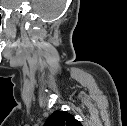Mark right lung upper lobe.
<instances>
[{
	"label": "right lung upper lobe",
	"mask_w": 127,
	"mask_h": 126,
	"mask_svg": "<svg viewBox=\"0 0 127 126\" xmlns=\"http://www.w3.org/2000/svg\"><path fill=\"white\" fill-rule=\"evenodd\" d=\"M44 126H82L71 114L57 110L46 120Z\"/></svg>",
	"instance_id": "right-lung-upper-lobe-1"
}]
</instances>
